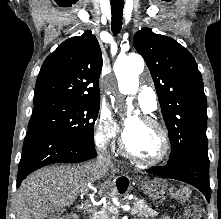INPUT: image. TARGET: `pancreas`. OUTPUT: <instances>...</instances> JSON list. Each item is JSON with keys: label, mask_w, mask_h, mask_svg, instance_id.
<instances>
[{"label": "pancreas", "mask_w": 221, "mask_h": 219, "mask_svg": "<svg viewBox=\"0 0 221 219\" xmlns=\"http://www.w3.org/2000/svg\"><path fill=\"white\" fill-rule=\"evenodd\" d=\"M133 207L131 214H136L138 217L141 218H154L158 215V212L152 210L146 202L142 199L135 198L133 201ZM118 211L114 209V207H108L102 211H100L95 217L92 219H114L113 214H117Z\"/></svg>", "instance_id": "1"}]
</instances>
